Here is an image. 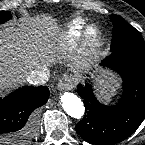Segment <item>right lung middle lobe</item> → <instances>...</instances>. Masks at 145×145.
<instances>
[{
	"instance_id": "dd1d6c3e",
	"label": "right lung middle lobe",
	"mask_w": 145,
	"mask_h": 145,
	"mask_svg": "<svg viewBox=\"0 0 145 145\" xmlns=\"http://www.w3.org/2000/svg\"><path fill=\"white\" fill-rule=\"evenodd\" d=\"M11 18V13L9 11H0V24L8 21Z\"/></svg>"
}]
</instances>
